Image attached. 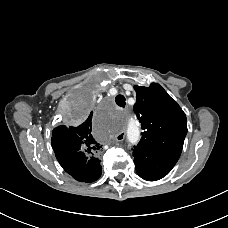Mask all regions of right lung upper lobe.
Masks as SVG:
<instances>
[{
	"label": "right lung upper lobe",
	"mask_w": 228,
	"mask_h": 228,
	"mask_svg": "<svg viewBox=\"0 0 228 228\" xmlns=\"http://www.w3.org/2000/svg\"><path fill=\"white\" fill-rule=\"evenodd\" d=\"M51 143L58 161L71 158L73 167L81 170V174L91 176L94 173L96 160L90 158H96L102 145L92 135V112L80 125L56 127Z\"/></svg>",
	"instance_id": "right-lung-upper-lobe-1"
}]
</instances>
